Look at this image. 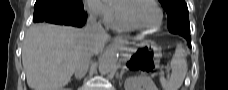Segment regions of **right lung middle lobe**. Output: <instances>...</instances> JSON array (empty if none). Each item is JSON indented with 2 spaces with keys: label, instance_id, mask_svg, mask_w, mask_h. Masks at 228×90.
<instances>
[{
  "label": "right lung middle lobe",
  "instance_id": "dd1d6c3e",
  "mask_svg": "<svg viewBox=\"0 0 228 90\" xmlns=\"http://www.w3.org/2000/svg\"><path fill=\"white\" fill-rule=\"evenodd\" d=\"M39 0L36 1V3ZM59 2L67 5L70 8H82L83 4H82V0H59ZM35 3V4H36Z\"/></svg>",
  "mask_w": 228,
  "mask_h": 90
}]
</instances>
